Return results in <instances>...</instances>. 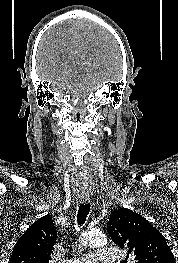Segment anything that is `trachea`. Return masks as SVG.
I'll use <instances>...</instances> for the list:
<instances>
[{
	"instance_id": "obj_1",
	"label": "trachea",
	"mask_w": 178,
	"mask_h": 263,
	"mask_svg": "<svg viewBox=\"0 0 178 263\" xmlns=\"http://www.w3.org/2000/svg\"><path fill=\"white\" fill-rule=\"evenodd\" d=\"M90 212V204H80L77 214V222L78 225H82L85 221Z\"/></svg>"
}]
</instances>
